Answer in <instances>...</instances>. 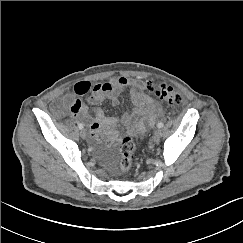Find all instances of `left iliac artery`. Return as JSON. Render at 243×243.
I'll list each match as a JSON object with an SVG mask.
<instances>
[{"label":"left iliac artery","mask_w":243,"mask_h":243,"mask_svg":"<svg viewBox=\"0 0 243 243\" xmlns=\"http://www.w3.org/2000/svg\"><path fill=\"white\" fill-rule=\"evenodd\" d=\"M163 126H164V125H163L162 122H159V123L157 124V127H158V128H163Z\"/></svg>","instance_id":"44dca946"}]
</instances>
